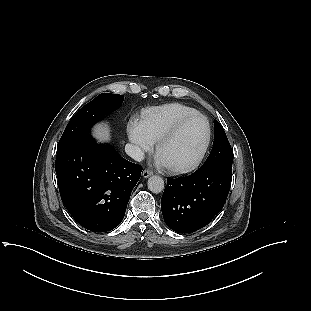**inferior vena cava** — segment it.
<instances>
[{"instance_id":"602c4592","label":"inferior vena cava","mask_w":311,"mask_h":311,"mask_svg":"<svg viewBox=\"0 0 311 311\" xmlns=\"http://www.w3.org/2000/svg\"><path fill=\"white\" fill-rule=\"evenodd\" d=\"M125 152L128 156H130L135 161H142L144 159V152L136 145L126 144Z\"/></svg>"}]
</instances>
